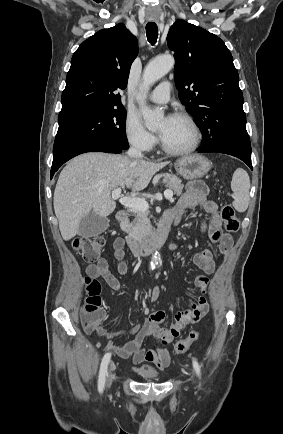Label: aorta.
Segmentation results:
<instances>
[{
    "instance_id": "aorta-1",
    "label": "aorta",
    "mask_w": 283,
    "mask_h": 434,
    "mask_svg": "<svg viewBox=\"0 0 283 434\" xmlns=\"http://www.w3.org/2000/svg\"><path fill=\"white\" fill-rule=\"evenodd\" d=\"M174 63V58L171 55H164L151 60L144 69L140 87L139 106L145 125L149 130H154L158 127L160 121L163 119V112L160 110H152L146 105V94L151 85L165 76L173 68ZM158 260V253L156 252L151 258V269L155 268L158 264Z\"/></svg>"
}]
</instances>
